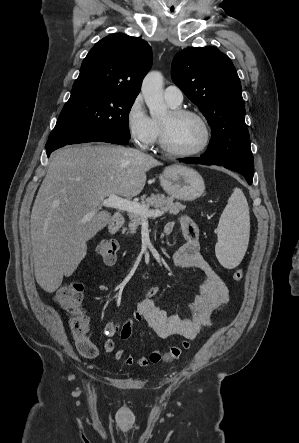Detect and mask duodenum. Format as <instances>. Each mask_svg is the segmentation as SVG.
I'll use <instances>...</instances> for the list:
<instances>
[{
  "label": "duodenum",
  "mask_w": 299,
  "mask_h": 443,
  "mask_svg": "<svg viewBox=\"0 0 299 443\" xmlns=\"http://www.w3.org/2000/svg\"><path fill=\"white\" fill-rule=\"evenodd\" d=\"M123 223L124 217L120 213L115 214L109 222V231L111 233L118 232Z\"/></svg>",
  "instance_id": "duodenum-1"
}]
</instances>
